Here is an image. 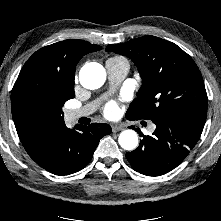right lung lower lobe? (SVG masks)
<instances>
[{
    "label": "right lung lower lobe",
    "mask_w": 221,
    "mask_h": 221,
    "mask_svg": "<svg viewBox=\"0 0 221 221\" xmlns=\"http://www.w3.org/2000/svg\"><path fill=\"white\" fill-rule=\"evenodd\" d=\"M76 129H68L65 123L38 128L21 142L40 167L55 175H69L83 169L100 139L111 133V127L103 123L78 125Z\"/></svg>",
    "instance_id": "right-lung-lower-lobe-1"
}]
</instances>
